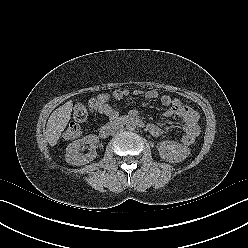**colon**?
<instances>
[{
  "label": "colon",
  "instance_id": "1",
  "mask_svg": "<svg viewBox=\"0 0 248 248\" xmlns=\"http://www.w3.org/2000/svg\"><path fill=\"white\" fill-rule=\"evenodd\" d=\"M101 105V99H91L87 106L81 103H77L73 109V117L77 122H84L89 116V112H93L99 109ZM81 134L80 126L76 123H70L63 132V138L65 140H75ZM184 145H191L195 142V137L184 135L181 139Z\"/></svg>",
  "mask_w": 248,
  "mask_h": 248
}]
</instances>
